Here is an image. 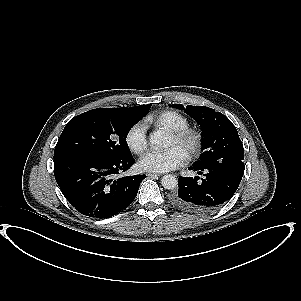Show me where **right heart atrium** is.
Masks as SVG:
<instances>
[{
    "instance_id": "d8ad5b80",
    "label": "right heart atrium",
    "mask_w": 301,
    "mask_h": 301,
    "mask_svg": "<svg viewBox=\"0 0 301 301\" xmlns=\"http://www.w3.org/2000/svg\"><path fill=\"white\" fill-rule=\"evenodd\" d=\"M128 144L136 152H142L147 148V140L144 131L140 127H134L128 135Z\"/></svg>"
}]
</instances>
